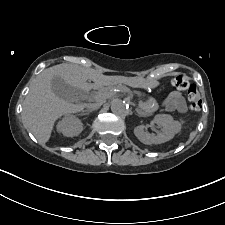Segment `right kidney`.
Returning a JSON list of instances; mask_svg holds the SVG:
<instances>
[{
	"label": "right kidney",
	"instance_id": "right-kidney-1",
	"mask_svg": "<svg viewBox=\"0 0 225 225\" xmlns=\"http://www.w3.org/2000/svg\"><path fill=\"white\" fill-rule=\"evenodd\" d=\"M57 131L67 137L77 136L83 131V123L76 116L69 115L58 122Z\"/></svg>",
	"mask_w": 225,
	"mask_h": 225
}]
</instances>
